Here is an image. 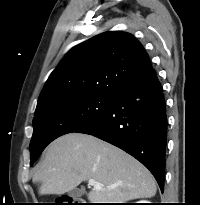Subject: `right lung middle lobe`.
I'll return each instance as SVG.
<instances>
[{"label":"right lung middle lobe","mask_w":200,"mask_h":205,"mask_svg":"<svg viewBox=\"0 0 200 205\" xmlns=\"http://www.w3.org/2000/svg\"><path fill=\"white\" fill-rule=\"evenodd\" d=\"M114 97L85 95L68 98L35 113L30 143L32 166L44 148L54 139L93 123L102 117Z\"/></svg>","instance_id":"dd1d6c3e"}]
</instances>
